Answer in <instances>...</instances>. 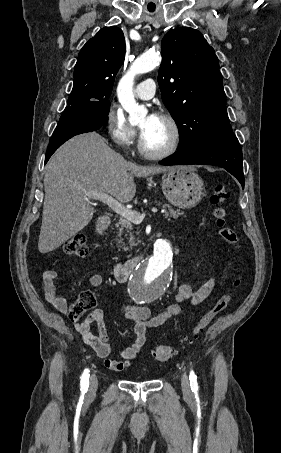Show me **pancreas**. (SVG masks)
<instances>
[{
  "label": "pancreas",
  "instance_id": "obj_1",
  "mask_svg": "<svg viewBox=\"0 0 281 453\" xmlns=\"http://www.w3.org/2000/svg\"><path fill=\"white\" fill-rule=\"evenodd\" d=\"M166 206H168V210H165L164 216H173V218H178V214H183V212H179V208L178 210H174V208H171L169 204H163V208H166ZM168 220H170V218H168ZM115 227H117L118 237H120L119 243H122L123 241V239H121L123 231H127V233H129L130 247H136L137 243L134 241L135 237H133V233H130V231H133V224L131 220H127V218H119L118 222L115 224ZM125 237H127V235H125Z\"/></svg>",
  "mask_w": 281,
  "mask_h": 453
}]
</instances>
